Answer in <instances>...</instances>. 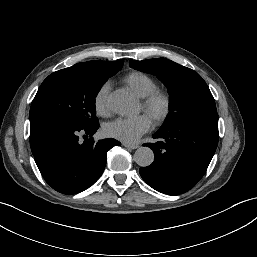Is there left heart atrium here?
Instances as JSON below:
<instances>
[{
  "instance_id": "obj_1",
  "label": "left heart atrium",
  "mask_w": 257,
  "mask_h": 257,
  "mask_svg": "<svg viewBox=\"0 0 257 257\" xmlns=\"http://www.w3.org/2000/svg\"><path fill=\"white\" fill-rule=\"evenodd\" d=\"M154 127V121L149 114H142L134 118H117L104 126L108 137L124 143H136Z\"/></svg>"
}]
</instances>
